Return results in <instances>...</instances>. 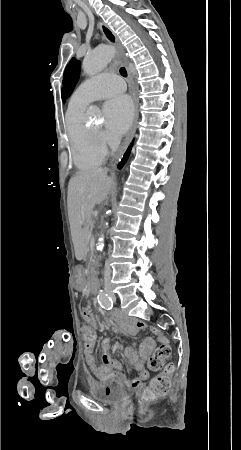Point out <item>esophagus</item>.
Instances as JSON below:
<instances>
[{"mask_svg":"<svg viewBox=\"0 0 241 450\" xmlns=\"http://www.w3.org/2000/svg\"><path fill=\"white\" fill-rule=\"evenodd\" d=\"M99 28H100L104 38L107 40V42L110 43L111 45H114L117 48V50H118V57L122 61V63L125 65V67L127 68L128 75H129V78H130L131 87H132V90H131L132 98H133V101H134V120H133L132 126H131V128H130V130L128 132L127 137L125 138V140H124V142H123L119 152L116 154V157H115V161H116L117 159L121 158L124 155L125 151L127 150L128 146L130 145V142L133 139V136H134V134L136 132V126H137L138 118H139V111H138V109H139L138 87L133 82V75H132L131 71L128 68V66H129L128 60L125 59L123 57V55H122L123 51L121 49L120 41H119L118 37L104 23H100L99 24Z\"/></svg>","mask_w":241,"mask_h":450,"instance_id":"1","label":"esophagus"}]
</instances>
